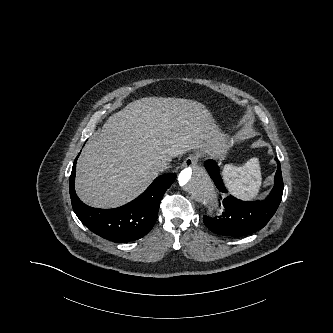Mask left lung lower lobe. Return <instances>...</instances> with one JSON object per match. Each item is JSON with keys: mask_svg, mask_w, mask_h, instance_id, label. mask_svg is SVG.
Masks as SVG:
<instances>
[{"mask_svg": "<svg viewBox=\"0 0 333 333\" xmlns=\"http://www.w3.org/2000/svg\"><path fill=\"white\" fill-rule=\"evenodd\" d=\"M216 187L227 192L221 180L217 164L208 160L204 164ZM275 184L269 196L262 201H241L233 196L226 197L220 216H204L205 225L213 232L225 236H245L262 229L276 212L283 194V179L280 163L277 160ZM221 205V202H220Z\"/></svg>", "mask_w": 333, "mask_h": 333, "instance_id": "0a47b994", "label": "left lung lower lobe"}]
</instances>
